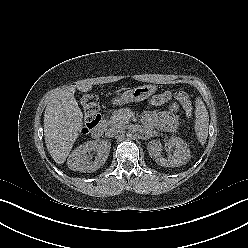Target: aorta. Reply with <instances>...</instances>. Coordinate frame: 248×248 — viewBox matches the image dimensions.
<instances>
[{"label": "aorta", "instance_id": "762f6f07", "mask_svg": "<svg viewBox=\"0 0 248 248\" xmlns=\"http://www.w3.org/2000/svg\"><path fill=\"white\" fill-rule=\"evenodd\" d=\"M126 136L129 139H135L137 138V131L135 128H130L128 129V131L126 132Z\"/></svg>", "mask_w": 248, "mask_h": 248}]
</instances>
